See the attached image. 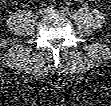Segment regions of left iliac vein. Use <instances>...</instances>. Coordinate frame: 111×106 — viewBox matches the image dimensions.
I'll return each mask as SVG.
<instances>
[{
	"label": "left iliac vein",
	"instance_id": "4c4485c4",
	"mask_svg": "<svg viewBox=\"0 0 111 106\" xmlns=\"http://www.w3.org/2000/svg\"><path fill=\"white\" fill-rule=\"evenodd\" d=\"M48 13H58V14H64V12L62 10H58V9H55L53 11H49Z\"/></svg>",
	"mask_w": 111,
	"mask_h": 106
}]
</instances>
